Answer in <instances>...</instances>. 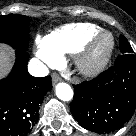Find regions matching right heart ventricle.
Here are the masks:
<instances>
[{
	"label": "right heart ventricle",
	"mask_w": 136,
	"mask_h": 136,
	"mask_svg": "<svg viewBox=\"0 0 136 136\" xmlns=\"http://www.w3.org/2000/svg\"><path fill=\"white\" fill-rule=\"evenodd\" d=\"M101 32V28L90 23H73L62 26L42 40L58 55L76 53L91 37Z\"/></svg>",
	"instance_id": "1"
}]
</instances>
